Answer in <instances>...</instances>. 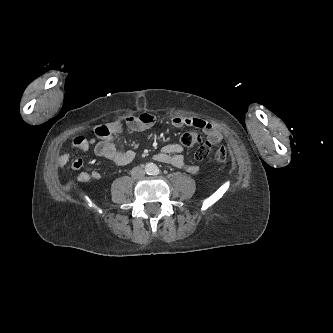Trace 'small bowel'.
Masks as SVG:
<instances>
[{"label": "small bowel", "instance_id": "small-bowel-1", "mask_svg": "<svg viewBox=\"0 0 333 333\" xmlns=\"http://www.w3.org/2000/svg\"><path fill=\"white\" fill-rule=\"evenodd\" d=\"M156 117L150 113H142L138 116H128L124 120L113 121L107 125L109 128V135L105 137H99L96 139H89L84 136H77L73 139L71 147L80 151H87L90 148H94L96 155L111 160L117 165H127L135 157V153L132 150H120L114 143V137L121 133L124 127H128L134 130H146L153 126ZM172 125L176 128L182 127H194L201 129L207 140L212 144H217L222 140L221 131L212 123L203 120L201 118L176 116L172 119ZM183 148L180 144L173 143L168 144L162 148V151L155 155V160L174 165L179 168L186 169L191 174L198 172V167L195 165H187L182 155ZM70 160V154L68 152L62 153L58 158V165L64 166ZM83 165V159L77 158L71 163L73 170H78ZM100 178V173L93 171L91 173H81L77 177V181L81 183L88 182L89 180H97Z\"/></svg>", "mask_w": 333, "mask_h": 333}]
</instances>
